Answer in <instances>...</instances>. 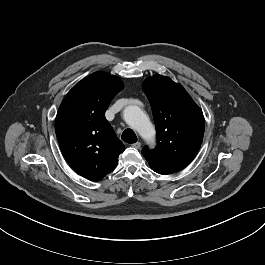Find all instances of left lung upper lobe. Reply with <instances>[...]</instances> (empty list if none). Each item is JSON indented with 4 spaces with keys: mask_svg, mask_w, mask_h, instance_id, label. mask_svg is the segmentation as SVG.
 Segmentation results:
<instances>
[{
    "mask_svg": "<svg viewBox=\"0 0 265 265\" xmlns=\"http://www.w3.org/2000/svg\"><path fill=\"white\" fill-rule=\"evenodd\" d=\"M156 126L157 146L142 154L152 170L167 175L185 168L196 156L204 135V116L185 89L156 75L143 83Z\"/></svg>",
    "mask_w": 265,
    "mask_h": 265,
    "instance_id": "left-lung-upper-lobe-1",
    "label": "left lung upper lobe"
}]
</instances>
